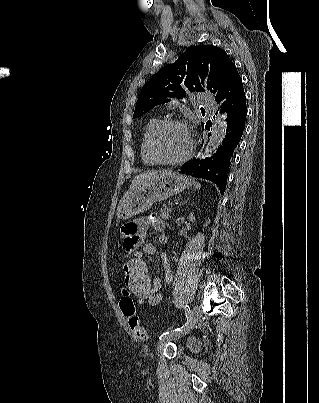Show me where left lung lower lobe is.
<instances>
[{"instance_id":"1","label":"left lung lower lobe","mask_w":319,"mask_h":403,"mask_svg":"<svg viewBox=\"0 0 319 403\" xmlns=\"http://www.w3.org/2000/svg\"><path fill=\"white\" fill-rule=\"evenodd\" d=\"M215 100L217 103L224 100L220 107V113H227V130L222 145L213 157L202 160L194 158L184 164L180 172L212 181L219 187L221 194H223L228 177L230 159L244 131L247 112L242 79L234 64L225 73ZM205 128L208 129L209 127L205 125ZM202 129H204V124H202Z\"/></svg>"}]
</instances>
